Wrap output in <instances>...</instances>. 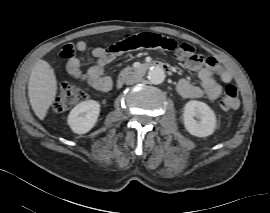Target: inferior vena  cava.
<instances>
[{
	"label": "inferior vena cava",
	"mask_w": 270,
	"mask_h": 213,
	"mask_svg": "<svg viewBox=\"0 0 270 213\" xmlns=\"http://www.w3.org/2000/svg\"><path fill=\"white\" fill-rule=\"evenodd\" d=\"M142 81V77L140 75L137 74H130L125 78V83L127 85H132L135 83H139Z\"/></svg>",
	"instance_id": "1"
}]
</instances>
